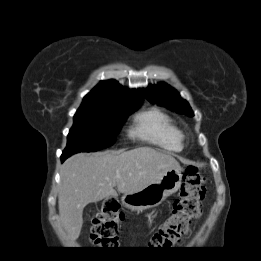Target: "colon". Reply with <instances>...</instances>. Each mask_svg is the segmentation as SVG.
Wrapping results in <instances>:
<instances>
[{"label": "colon", "mask_w": 261, "mask_h": 261, "mask_svg": "<svg viewBox=\"0 0 261 261\" xmlns=\"http://www.w3.org/2000/svg\"><path fill=\"white\" fill-rule=\"evenodd\" d=\"M206 194L205 178L195 167L186 169L179 197L173 203L171 216L160 225L149 245L167 248L179 243L189 232L190 224L201 215V202ZM124 214L115 201H107L97 211L90 232L93 245L116 248Z\"/></svg>", "instance_id": "5ec220e1"}]
</instances>
